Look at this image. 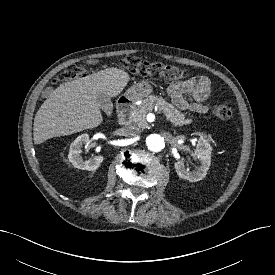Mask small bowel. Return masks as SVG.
I'll return each instance as SVG.
<instances>
[{
	"label": "small bowel",
	"mask_w": 275,
	"mask_h": 275,
	"mask_svg": "<svg viewBox=\"0 0 275 275\" xmlns=\"http://www.w3.org/2000/svg\"><path fill=\"white\" fill-rule=\"evenodd\" d=\"M167 91L175 106L181 110L206 113L209 109L206 101L211 93V85L205 76H196L186 81L171 84ZM186 94H191L194 102L187 101L184 97Z\"/></svg>",
	"instance_id": "obj_1"
}]
</instances>
